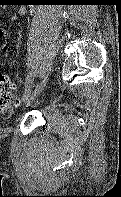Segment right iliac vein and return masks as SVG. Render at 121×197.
Here are the masks:
<instances>
[{"instance_id":"obj_1","label":"right iliac vein","mask_w":121,"mask_h":197,"mask_svg":"<svg viewBox=\"0 0 121 197\" xmlns=\"http://www.w3.org/2000/svg\"><path fill=\"white\" fill-rule=\"evenodd\" d=\"M46 85V79L42 80L34 89V91L32 92V94H30L29 96H27L25 98V104L26 106L30 105L36 98L37 96L41 93V91L44 89Z\"/></svg>"}]
</instances>
